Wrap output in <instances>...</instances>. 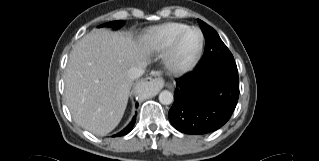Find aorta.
<instances>
[{"mask_svg":"<svg viewBox=\"0 0 319 161\" xmlns=\"http://www.w3.org/2000/svg\"><path fill=\"white\" fill-rule=\"evenodd\" d=\"M141 94L142 96L148 95L145 88L143 89ZM159 101L163 105H169L173 102V94L168 90H164L159 94Z\"/></svg>","mask_w":319,"mask_h":161,"instance_id":"1","label":"aorta"}]
</instances>
